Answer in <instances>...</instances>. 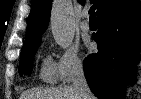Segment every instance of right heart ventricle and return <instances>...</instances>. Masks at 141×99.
Returning <instances> with one entry per match:
<instances>
[{
	"label": "right heart ventricle",
	"instance_id": "1",
	"mask_svg": "<svg viewBox=\"0 0 141 99\" xmlns=\"http://www.w3.org/2000/svg\"><path fill=\"white\" fill-rule=\"evenodd\" d=\"M56 78L55 64L50 58L47 57L43 60L41 65L40 79L46 83H53Z\"/></svg>",
	"mask_w": 141,
	"mask_h": 99
}]
</instances>
